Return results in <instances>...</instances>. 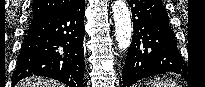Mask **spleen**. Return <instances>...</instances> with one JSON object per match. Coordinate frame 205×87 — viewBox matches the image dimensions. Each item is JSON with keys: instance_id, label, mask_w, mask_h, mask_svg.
Here are the masks:
<instances>
[{"instance_id": "spleen-1", "label": "spleen", "mask_w": 205, "mask_h": 87, "mask_svg": "<svg viewBox=\"0 0 205 87\" xmlns=\"http://www.w3.org/2000/svg\"><path fill=\"white\" fill-rule=\"evenodd\" d=\"M147 87H179V85L170 78L155 79Z\"/></svg>"}]
</instances>
